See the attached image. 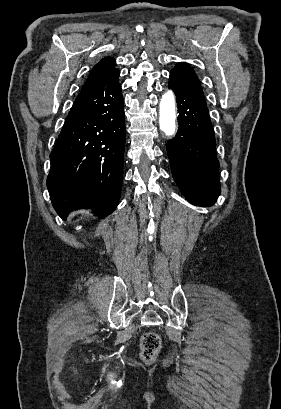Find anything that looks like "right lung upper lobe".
<instances>
[{
  "label": "right lung upper lobe",
  "mask_w": 281,
  "mask_h": 409,
  "mask_svg": "<svg viewBox=\"0 0 281 409\" xmlns=\"http://www.w3.org/2000/svg\"><path fill=\"white\" fill-rule=\"evenodd\" d=\"M115 68V59L111 57L103 58L91 70L87 81L85 82L81 92L89 91L109 80L111 75L117 72Z\"/></svg>",
  "instance_id": "right-lung-upper-lobe-1"
}]
</instances>
